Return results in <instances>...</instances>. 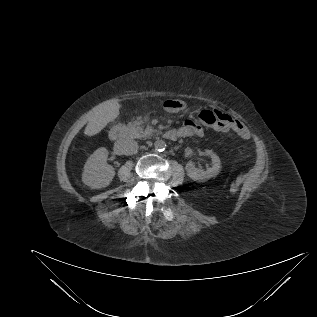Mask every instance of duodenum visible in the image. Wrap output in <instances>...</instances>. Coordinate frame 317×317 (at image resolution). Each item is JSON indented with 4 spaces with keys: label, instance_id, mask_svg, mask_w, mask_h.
<instances>
[{
    "label": "duodenum",
    "instance_id": "obj_1",
    "mask_svg": "<svg viewBox=\"0 0 317 317\" xmlns=\"http://www.w3.org/2000/svg\"><path fill=\"white\" fill-rule=\"evenodd\" d=\"M109 136L111 140L118 141L128 138L130 136V131L125 124H118L111 129ZM165 138L168 140H175L176 131L168 130L167 132H165Z\"/></svg>",
    "mask_w": 317,
    "mask_h": 317
}]
</instances>
